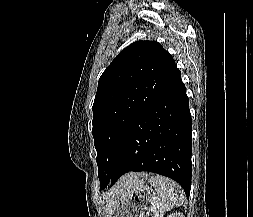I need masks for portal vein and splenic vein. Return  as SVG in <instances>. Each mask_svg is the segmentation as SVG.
<instances>
[{
    "label": "portal vein and splenic vein",
    "mask_w": 253,
    "mask_h": 217,
    "mask_svg": "<svg viewBox=\"0 0 253 217\" xmlns=\"http://www.w3.org/2000/svg\"><path fill=\"white\" fill-rule=\"evenodd\" d=\"M154 215L157 216V215H158V212H157V211H154Z\"/></svg>",
    "instance_id": "18ae733b"
}]
</instances>
